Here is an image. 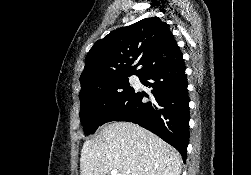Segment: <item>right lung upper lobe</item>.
<instances>
[{
	"label": "right lung upper lobe",
	"instance_id": "1",
	"mask_svg": "<svg viewBox=\"0 0 251 175\" xmlns=\"http://www.w3.org/2000/svg\"><path fill=\"white\" fill-rule=\"evenodd\" d=\"M182 60L169 25L158 17L114 30L88 52L80 76L81 88L104 85L123 76H144ZM138 66H142L136 70Z\"/></svg>",
	"mask_w": 251,
	"mask_h": 175
}]
</instances>
